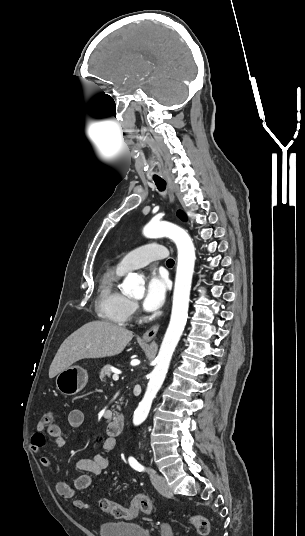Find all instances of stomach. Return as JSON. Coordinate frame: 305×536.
Wrapping results in <instances>:
<instances>
[{
    "label": "stomach",
    "instance_id": "0dacf381",
    "mask_svg": "<svg viewBox=\"0 0 305 536\" xmlns=\"http://www.w3.org/2000/svg\"><path fill=\"white\" fill-rule=\"evenodd\" d=\"M88 382L87 370L80 366H72L60 372L56 378V388L65 396H74L85 388Z\"/></svg>",
    "mask_w": 305,
    "mask_h": 536
}]
</instances>
